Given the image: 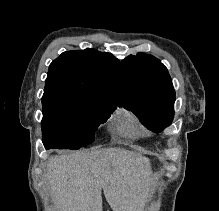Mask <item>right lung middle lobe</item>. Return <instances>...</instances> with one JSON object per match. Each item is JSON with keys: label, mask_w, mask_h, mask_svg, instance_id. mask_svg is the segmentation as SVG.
Returning <instances> with one entry per match:
<instances>
[{"label": "right lung middle lobe", "mask_w": 219, "mask_h": 211, "mask_svg": "<svg viewBox=\"0 0 219 211\" xmlns=\"http://www.w3.org/2000/svg\"><path fill=\"white\" fill-rule=\"evenodd\" d=\"M42 106L44 146L48 149H79L94 141L95 131L120 105L49 96L42 97Z\"/></svg>", "instance_id": "obj_1"}]
</instances>
